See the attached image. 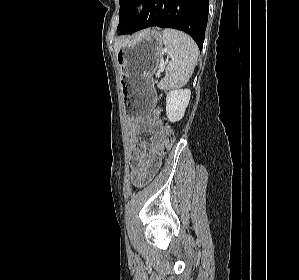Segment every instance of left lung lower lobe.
Listing matches in <instances>:
<instances>
[{"instance_id":"0a47b994","label":"left lung lower lobe","mask_w":299,"mask_h":280,"mask_svg":"<svg viewBox=\"0 0 299 280\" xmlns=\"http://www.w3.org/2000/svg\"><path fill=\"white\" fill-rule=\"evenodd\" d=\"M144 3L142 12L136 16L121 34L158 26L174 28L189 34L202 49L208 21L209 0H138Z\"/></svg>"}]
</instances>
